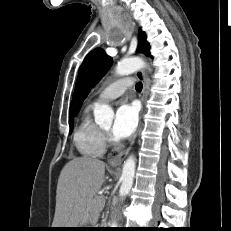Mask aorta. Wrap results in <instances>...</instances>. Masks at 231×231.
Returning a JSON list of instances; mask_svg holds the SVG:
<instances>
[{
	"instance_id": "1",
	"label": "aorta",
	"mask_w": 231,
	"mask_h": 231,
	"mask_svg": "<svg viewBox=\"0 0 231 231\" xmlns=\"http://www.w3.org/2000/svg\"><path fill=\"white\" fill-rule=\"evenodd\" d=\"M145 62L138 58H128L123 59L122 61L118 62L116 66V74L123 76L131 74L143 67H145ZM94 117L96 123H103V122H112L114 117L113 110L108 105H101L94 110ZM135 168L136 162L135 157L133 155L129 156L127 160L124 162L122 176H121V186H120V196L125 197L133 184V179L135 175ZM118 223L115 219L110 222L111 228H117Z\"/></svg>"
}]
</instances>
